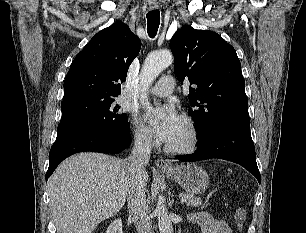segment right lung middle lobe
<instances>
[{
	"label": "right lung middle lobe",
	"instance_id": "right-lung-middle-lobe-1",
	"mask_svg": "<svg viewBox=\"0 0 306 233\" xmlns=\"http://www.w3.org/2000/svg\"><path fill=\"white\" fill-rule=\"evenodd\" d=\"M114 98H79L62 102V118L57 129V140L87 130H106L122 133L129 131L126 114H120Z\"/></svg>",
	"mask_w": 306,
	"mask_h": 233
}]
</instances>
